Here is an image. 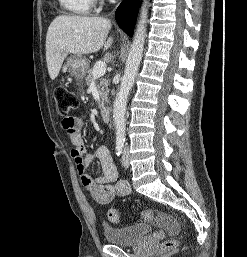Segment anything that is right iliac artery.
<instances>
[{"label": "right iliac artery", "mask_w": 247, "mask_h": 257, "mask_svg": "<svg viewBox=\"0 0 247 257\" xmlns=\"http://www.w3.org/2000/svg\"><path fill=\"white\" fill-rule=\"evenodd\" d=\"M124 139H118L116 142V154L119 156L123 152L124 148Z\"/></svg>", "instance_id": "1"}]
</instances>
